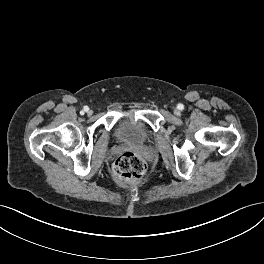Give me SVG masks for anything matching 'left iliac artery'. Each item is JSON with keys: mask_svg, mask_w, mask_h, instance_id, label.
<instances>
[{"mask_svg": "<svg viewBox=\"0 0 264 264\" xmlns=\"http://www.w3.org/2000/svg\"><path fill=\"white\" fill-rule=\"evenodd\" d=\"M178 109L183 110V109H184L183 104H179V105H178Z\"/></svg>", "mask_w": 264, "mask_h": 264, "instance_id": "left-iliac-artery-1", "label": "left iliac artery"}]
</instances>
